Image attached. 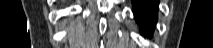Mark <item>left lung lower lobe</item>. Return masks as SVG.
<instances>
[{"mask_svg":"<svg viewBox=\"0 0 213 48\" xmlns=\"http://www.w3.org/2000/svg\"><path fill=\"white\" fill-rule=\"evenodd\" d=\"M133 13L145 35L150 37L157 20V0H132Z\"/></svg>","mask_w":213,"mask_h":48,"instance_id":"1","label":"left lung lower lobe"}]
</instances>
